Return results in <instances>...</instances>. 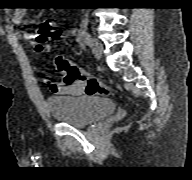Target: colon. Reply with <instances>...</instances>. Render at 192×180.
<instances>
[{
	"label": "colon",
	"instance_id": "obj_1",
	"mask_svg": "<svg viewBox=\"0 0 192 180\" xmlns=\"http://www.w3.org/2000/svg\"><path fill=\"white\" fill-rule=\"evenodd\" d=\"M61 38V33L52 26H46L33 35L34 47L37 52H43L47 44ZM57 70L63 75V82L67 85L82 87L88 95H109L111 89L99 78L87 73L79 65L64 56L55 59Z\"/></svg>",
	"mask_w": 192,
	"mask_h": 180
}]
</instances>
